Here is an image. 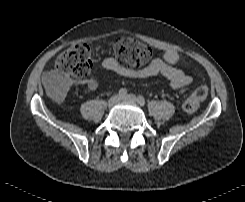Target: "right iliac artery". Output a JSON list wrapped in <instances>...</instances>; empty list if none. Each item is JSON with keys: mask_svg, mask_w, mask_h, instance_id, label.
Wrapping results in <instances>:
<instances>
[{"mask_svg": "<svg viewBox=\"0 0 245 202\" xmlns=\"http://www.w3.org/2000/svg\"><path fill=\"white\" fill-rule=\"evenodd\" d=\"M119 96L123 97L127 94V89L126 88H121L118 92Z\"/></svg>", "mask_w": 245, "mask_h": 202, "instance_id": "obj_1", "label": "right iliac artery"}]
</instances>
